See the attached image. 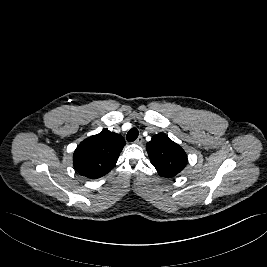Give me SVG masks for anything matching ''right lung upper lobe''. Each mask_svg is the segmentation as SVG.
Instances as JSON below:
<instances>
[{
    "label": "right lung upper lobe",
    "mask_w": 267,
    "mask_h": 267,
    "mask_svg": "<svg viewBox=\"0 0 267 267\" xmlns=\"http://www.w3.org/2000/svg\"><path fill=\"white\" fill-rule=\"evenodd\" d=\"M125 144L120 134L108 130L101 131L77 146L73 155V165L81 175L91 179L100 178L116 165Z\"/></svg>",
    "instance_id": "right-lung-upper-lobe-1"
}]
</instances>
